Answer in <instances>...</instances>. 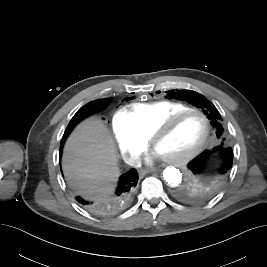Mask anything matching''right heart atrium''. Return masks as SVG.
Here are the masks:
<instances>
[{"instance_id":"1","label":"right heart atrium","mask_w":267,"mask_h":267,"mask_svg":"<svg viewBox=\"0 0 267 267\" xmlns=\"http://www.w3.org/2000/svg\"><path fill=\"white\" fill-rule=\"evenodd\" d=\"M111 126L122 156L129 164H135L146 148L147 139L138 133L124 111L114 113Z\"/></svg>"}]
</instances>
